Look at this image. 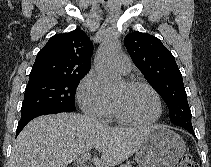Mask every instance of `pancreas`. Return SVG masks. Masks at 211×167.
<instances>
[{
  "label": "pancreas",
  "mask_w": 211,
  "mask_h": 167,
  "mask_svg": "<svg viewBox=\"0 0 211 167\" xmlns=\"http://www.w3.org/2000/svg\"><path fill=\"white\" fill-rule=\"evenodd\" d=\"M120 167H132L130 164H122Z\"/></svg>",
  "instance_id": "cf45deb5"
}]
</instances>
